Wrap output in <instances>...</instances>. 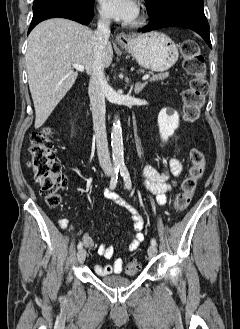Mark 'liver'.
I'll return each mask as SVG.
<instances>
[{
  "label": "liver",
  "mask_w": 240,
  "mask_h": 329,
  "mask_svg": "<svg viewBox=\"0 0 240 329\" xmlns=\"http://www.w3.org/2000/svg\"><path fill=\"white\" fill-rule=\"evenodd\" d=\"M92 38L93 32L88 27L60 18L41 22L29 34L25 60L36 129L45 123L75 83L78 73L71 65H82L91 74ZM112 59L113 49L108 42L104 68L110 66Z\"/></svg>",
  "instance_id": "6515ba94"
}]
</instances>
